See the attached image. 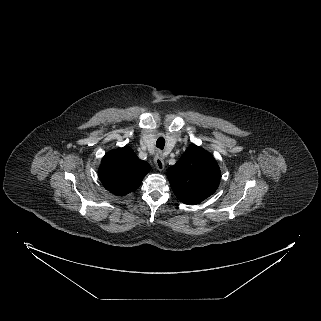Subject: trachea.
I'll use <instances>...</instances> for the list:
<instances>
[{"instance_id": "obj_1", "label": "trachea", "mask_w": 321, "mask_h": 321, "mask_svg": "<svg viewBox=\"0 0 321 321\" xmlns=\"http://www.w3.org/2000/svg\"><path fill=\"white\" fill-rule=\"evenodd\" d=\"M165 146V139L163 137H159L156 141V147L159 148L160 150H163Z\"/></svg>"}]
</instances>
